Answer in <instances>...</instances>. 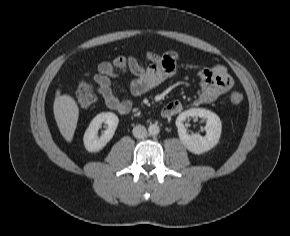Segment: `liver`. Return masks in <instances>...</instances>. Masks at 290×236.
<instances>
[{
    "instance_id": "1",
    "label": "liver",
    "mask_w": 290,
    "mask_h": 236,
    "mask_svg": "<svg viewBox=\"0 0 290 236\" xmlns=\"http://www.w3.org/2000/svg\"><path fill=\"white\" fill-rule=\"evenodd\" d=\"M53 112L61 135L67 142H71L79 117L76 101L69 95H61V91L57 89Z\"/></svg>"
}]
</instances>
